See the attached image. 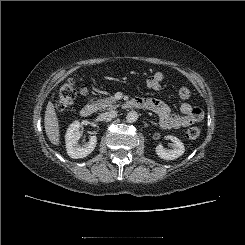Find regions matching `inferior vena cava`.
<instances>
[{"label": "inferior vena cava", "instance_id": "obj_1", "mask_svg": "<svg viewBox=\"0 0 245 245\" xmlns=\"http://www.w3.org/2000/svg\"><path fill=\"white\" fill-rule=\"evenodd\" d=\"M116 114H117L116 111H113V110L112 111H108V112H105V113L100 114L99 115V119L101 121H104V120H107V119H109L111 117H114Z\"/></svg>", "mask_w": 245, "mask_h": 245}]
</instances>
